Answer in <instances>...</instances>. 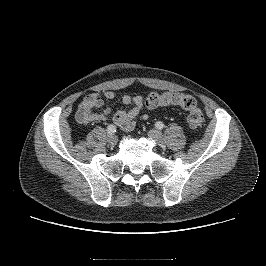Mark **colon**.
I'll list each match as a JSON object with an SVG mask.
<instances>
[{
	"label": "colon",
	"instance_id": "5ec220e1",
	"mask_svg": "<svg viewBox=\"0 0 266 266\" xmlns=\"http://www.w3.org/2000/svg\"><path fill=\"white\" fill-rule=\"evenodd\" d=\"M147 108H158L162 106H177L187 112V123L193 130L201 129L204 125V115L197 100L188 94L179 92H154L145 100Z\"/></svg>",
	"mask_w": 266,
	"mask_h": 266
}]
</instances>
